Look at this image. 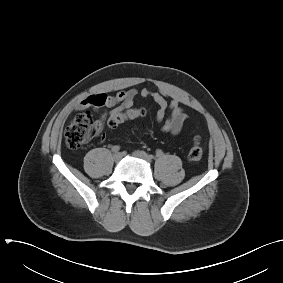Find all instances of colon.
Wrapping results in <instances>:
<instances>
[{
	"mask_svg": "<svg viewBox=\"0 0 283 283\" xmlns=\"http://www.w3.org/2000/svg\"><path fill=\"white\" fill-rule=\"evenodd\" d=\"M147 113L144 108H131L111 116L107 125L109 128H116L126 120L143 117ZM96 133V124L91 115L87 112L78 113L67 126L65 131V140L72 149H78L86 144ZM203 156V150L200 147L199 136H195L193 145L188 152L190 161H199Z\"/></svg>",
	"mask_w": 283,
	"mask_h": 283,
	"instance_id": "obj_1",
	"label": "colon"
}]
</instances>
